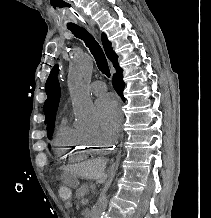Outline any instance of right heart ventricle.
I'll use <instances>...</instances> for the list:
<instances>
[{"instance_id":"e07e8e85","label":"right heart ventricle","mask_w":211,"mask_h":218,"mask_svg":"<svg viewBox=\"0 0 211 218\" xmlns=\"http://www.w3.org/2000/svg\"><path fill=\"white\" fill-rule=\"evenodd\" d=\"M57 157H60L62 165H73L78 159H84L92 155L103 154L108 144H98L91 141L86 132L72 128L62 119L56 133Z\"/></svg>"}]
</instances>
